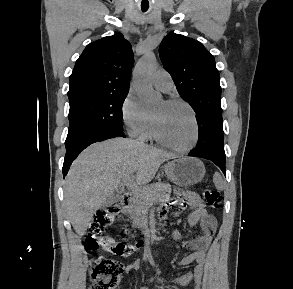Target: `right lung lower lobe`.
Wrapping results in <instances>:
<instances>
[{
    "instance_id": "98d812e1",
    "label": "right lung lower lobe",
    "mask_w": 293,
    "mask_h": 289,
    "mask_svg": "<svg viewBox=\"0 0 293 289\" xmlns=\"http://www.w3.org/2000/svg\"><path fill=\"white\" fill-rule=\"evenodd\" d=\"M125 137L123 130L110 128V129H103L96 132H92L85 136H82L69 144H65L66 146V156L64 159L63 164V176L68 173L69 167L72 164L73 160L77 157L79 153H81L86 147L89 145L103 141L110 138L115 137Z\"/></svg>"
}]
</instances>
